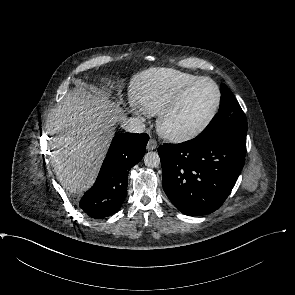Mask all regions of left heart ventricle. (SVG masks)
<instances>
[{
    "label": "left heart ventricle",
    "mask_w": 295,
    "mask_h": 295,
    "mask_svg": "<svg viewBox=\"0 0 295 295\" xmlns=\"http://www.w3.org/2000/svg\"><path fill=\"white\" fill-rule=\"evenodd\" d=\"M217 99L215 87L201 81L185 96L166 120V129L175 134L190 132L199 127L211 114Z\"/></svg>",
    "instance_id": "1"
}]
</instances>
